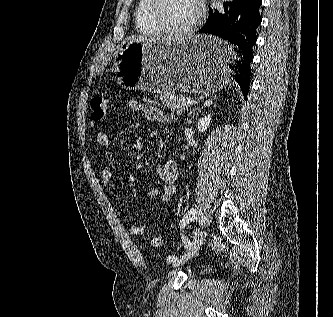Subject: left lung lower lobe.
<instances>
[{"mask_svg":"<svg viewBox=\"0 0 333 317\" xmlns=\"http://www.w3.org/2000/svg\"><path fill=\"white\" fill-rule=\"evenodd\" d=\"M262 0H232L224 3L222 10H209V17L198 33L212 34L237 45L236 53L222 52L231 70V77L239 84L244 99L249 91L252 47L257 41L256 30L262 18L259 9ZM233 53V54H232Z\"/></svg>","mask_w":333,"mask_h":317,"instance_id":"obj_1","label":"left lung lower lobe"}]
</instances>
